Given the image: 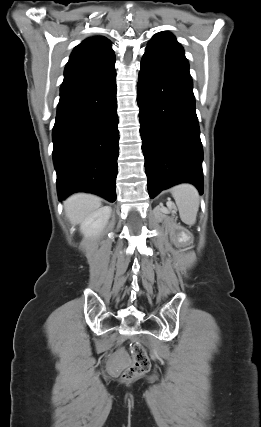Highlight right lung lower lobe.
Listing matches in <instances>:
<instances>
[{
    "instance_id": "1",
    "label": "right lung lower lobe",
    "mask_w": 261,
    "mask_h": 427,
    "mask_svg": "<svg viewBox=\"0 0 261 427\" xmlns=\"http://www.w3.org/2000/svg\"><path fill=\"white\" fill-rule=\"evenodd\" d=\"M116 70L60 90L53 128L59 200L74 192L116 200Z\"/></svg>"
}]
</instances>
